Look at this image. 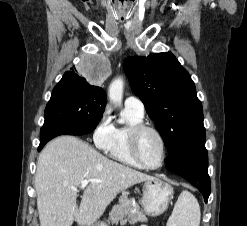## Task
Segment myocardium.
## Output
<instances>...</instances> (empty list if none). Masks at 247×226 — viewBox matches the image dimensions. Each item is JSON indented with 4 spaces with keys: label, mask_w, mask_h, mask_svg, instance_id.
Wrapping results in <instances>:
<instances>
[{
    "label": "myocardium",
    "mask_w": 247,
    "mask_h": 226,
    "mask_svg": "<svg viewBox=\"0 0 247 226\" xmlns=\"http://www.w3.org/2000/svg\"><path fill=\"white\" fill-rule=\"evenodd\" d=\"M144 131L153 132L158 137L161 143L162 156H161L160 162L157 165L151 166V165L146 164L139 155L138 138L141 135V133H143ZM128 146H129L130 154L132 158L135 160V162L142 168H145L148 170H156V169L161 168L167 158V145H166L164 136L157 128H155L152 125L140 123V124L133 126L130 129L129 134H128Z\"/></svg>",
    "instance_id": "myocardium-1"
}]
</instances>
